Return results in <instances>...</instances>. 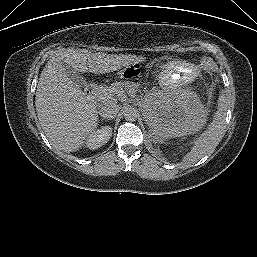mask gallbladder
Instances as JSON below:
<instances>
[{
	"label": "gallbladder",
	"mask_w": 257,
	"mask_h": 257,
	"mask_svg": "<svg viewBox=\"0 0 257 257\" xmlns=\"http://www.w3.org/2000/svg\"><path fill=\"white\" fill-rule=\"evenodd\" d=\"M65 72L67 76L76 84H78L80 87H85L87 82L86 79L83 77V75L73 69L72 67H69L68 65H64Z\"/></svg>",
	"instance_id": "bac80fb5"
}]
</instances>
